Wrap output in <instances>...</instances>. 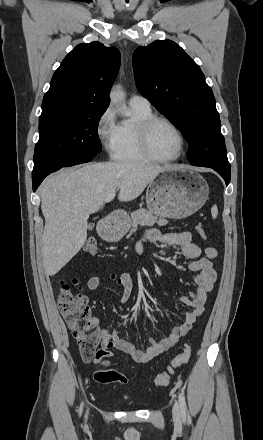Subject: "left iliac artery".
Here are the masks:
<instances>
[{"mask_svg": "<svg viewBox=\"0 0 263 440\" xmlns=\"http://www.w3.org/2000/svg\"><path fill=\"white\" fill-rule=\"evenodd\" d=\"M179 405L182 412V416L183 418H185L187 406H186L185 398L182 393H179Z\"/></svg>", "mask_w": 263, "mask_h": 440, "instance_id": "obj_1", "label": "left iliac artery"}]
</instances>
